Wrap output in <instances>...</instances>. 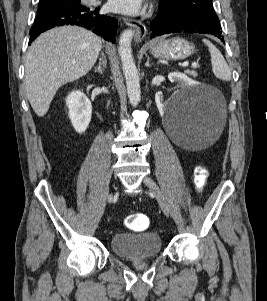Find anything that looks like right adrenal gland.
Here are the masks:
<instances>
[{"mask_svg": "<svg viewBox=\"0 0 267 301\" xmlns=\"http://www.w3.org/2000/svg\"><path fill=\"white\" fill-rule=\"evenodd\" d=\"M106 67V60L103 53H101V57L99 59V64L95 67L96 72L102 74Z\"/></svg>", "mask_w": 267, "mask_h": 301, "instance_id": "right-adrenal-gland-1", "label": "right adrenal gland"}]
</instances>
